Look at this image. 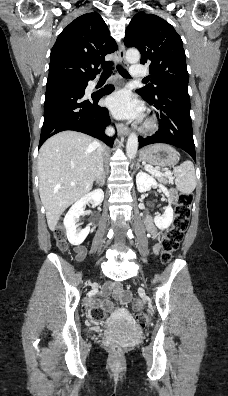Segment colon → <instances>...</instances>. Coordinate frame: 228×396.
Returning a JSON list of instances; mask_svg holds the SVG:
<instances>
[{
  "label": "colon",
  "instance_id": "1",
  "mask_svg": "<svg viewBox=\"0 0 228 396\" xmlns=\"http://www.w3.org/2000/svg\"><path fill=\"white\" fill-rule=\"evenodd\" d=\"M193 197L188 193H180L177 199L176 216L173 221L172 227L168 230L166 237L162 241L163 255L162 260L168 263L172 260L174 252L177 250L179 243L182 240L183 233L188 227V219L190 216V208L192 205ZM55 238L61 249L66 248L65 234L61 227H57L54 231ZM134 309L137 311V321L141 327L146 326L147 317L143 313L144 304L140 301H135L133 304ZM104 311L101 307L93 309V317L95 320H102L104 318ZM114 353H119L121 348L117 344H112L111 347Z\"/></svg>",
  "mask_w": 228,
  "mask_h": 396
}]
</instances>
